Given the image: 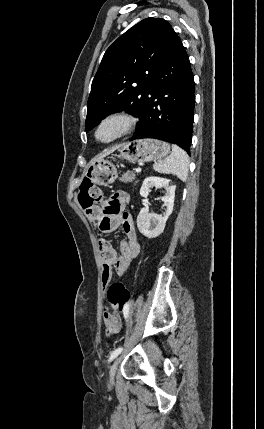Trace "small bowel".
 <instances>
[{
	"instance_id": "obj_1",
	"label": "small bowel",
	"mask_w": 264,
	"mask_h": 429,
	"mask_svg": "<svg viewBox=\"0 0 264 429\" xmlns=\"http://www.w3.org/2000/svg\"><path fill=\"white\" fill-rule=\"evenodd\" d=\"M128 202V193L119 190L105 200L101 206L93 208L91 212H86L88 220L95 224L101 232H113L118 227H122L126 235V239L119 244V253L113 249L107 239L99 240L103 290L108 287L113 270L118 276H123L140 250L133 219L129 213L124 211ZM103 322L110 335L118 333L122 328L120 315L111 312L107 307L104 308Z\"/></svg>"
}]
</instances>
